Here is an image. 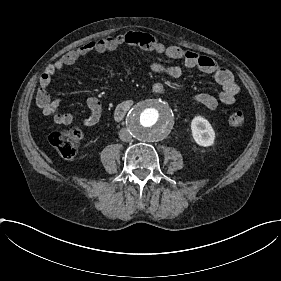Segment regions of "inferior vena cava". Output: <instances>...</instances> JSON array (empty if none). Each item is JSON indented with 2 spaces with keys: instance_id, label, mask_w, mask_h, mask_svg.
<instances>
[{
  "instance_id": "602c4592",
  "label": "inferior vena cava",
  "mask_w": 281,
  "mask_h": 281,
  "mask_svg": "<svg viewBox=\"0 0 281 281\" xmlns=\"http://www.w3.org/2000/svg\"><path fill=\"white\" fill-rule=\"evenodd\" d=\"M119 138L123 142H130L132 140V135L130 134V131L126 128H122L119 131Z\"/></svg>"
}]
</instances>
